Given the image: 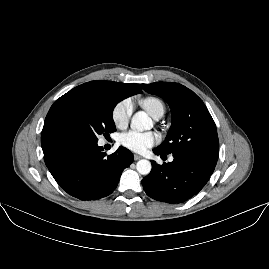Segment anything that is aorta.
<instances>
[{"label": "aorta", "instance_id": "762f6f07", "mask_svg": "<svg viewBox=\"0 0 269 269\" xmlns=\"http://www.w3.org/2000/svg\"><path fill=\"white\" fill-rule=\"evenodd\" d=\"M133 129L136 131L149 130L153 127V122L144 112H135L131 119ZM151 163L147 159H141L136 164V170L141 175H148L151 171Z\"/></svg>", "mask_w": 269, "mask_h": 269}]
</instances>
